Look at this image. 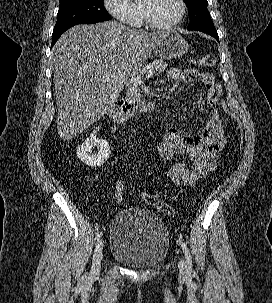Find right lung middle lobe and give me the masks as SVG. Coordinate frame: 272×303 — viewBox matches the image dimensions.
Segmentation results:
<instances>
[{"label":"right lung middle lobe","instance_id":"obj_1","mask_svg":"<svg viewBox=\"0 0 272 303\" xmlns=\"http://www.w3.org/2000/svg\"><path fill=\"white\" fill-rule=\"evenodd\" d=\"M103 0H60L57 22L53 31L72 25L110 20Z\"/></svg>","mask_w":272,"mask_h":303}]
</instances>
